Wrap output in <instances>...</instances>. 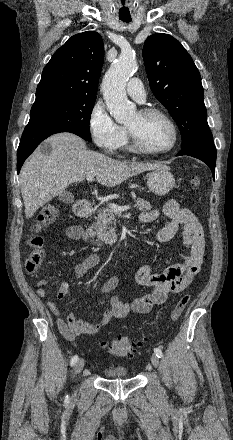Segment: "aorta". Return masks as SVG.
<instances>
[{"label":"aorta","instance_id":"762f6f07","mask_svg":"<svg viewBox=\"0 0 233 440\" xmlns=\"http://www.w3.org/2000/svg\"><path fill=\"white\" fill-rule=\"evenodd\" d=\"M136 66L133 54L123 53L104 76L103 97L117 123L129 121L136 113V106L128 100L125 90L126 82L134 73Z\"/></svg>","mask_w":233,"mask_h":440}]
</instances>
